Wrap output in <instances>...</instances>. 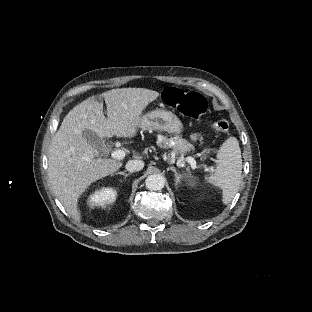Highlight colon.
<instances>
[{"instance_id": "obj_1", "label": "colon", "mask_w": 312, "mask_h": 312, "mask_svg": "<svg viewBox=\"0 0 312 312\" xmlns=\"http://www.w3.org/2000/svg\"><path fill=\"white\" fill-rule=\"evenodd\" d=\"M165 104L178 110L183 115L198 120L206 111L207 101L199 93L190 90H180L178 88H168L164 97ZM212 129L225 132L228 130V121L222 117H215L211 123Z\"/></svg>"}]
</instances>
